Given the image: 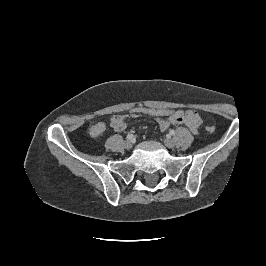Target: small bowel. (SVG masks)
<instances>
[{
    "label": "small bowel",
    "mask_w": 266,
    "mask_h": 266,
    "mask_svg": "<svg viewBox=\"0 0 266 266\" xmlns=\"http://www.w3.org/2000/svg\"><path fill=\"white\" fill-rule=\"evenodd\" d=\"M126 116L115 115L111 118L110 125L115 131H123L126 128ZM160 129L165 131L170 125H185L193 133H197L201 124L199 114L194 110H177L167 118H156ZM106 130V125L103 122H97L89 129V133L93 137H99Z\"/></svg>",
    "instance_id": "obj_1"
}]
</instances>
